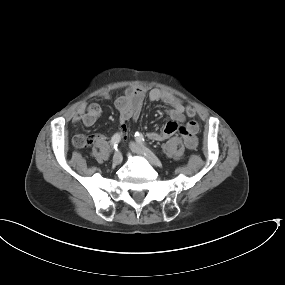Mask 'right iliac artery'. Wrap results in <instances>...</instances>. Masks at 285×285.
Here are the masks:
<instances>
[{
	"label": "right iliac artery",
	"instance_id": "obj_1",
	"mask_svg": "<svg viewBox=\"0 0 285 285\" xmlns=\"http://www.w3.org/2000/svg\"><path fill=\"white\" fill-rule=\"evenodd\" d=\"M121 141V137L120 134L116 133L113 135L112 139H111V146L113 147V149L117 150L118 144Z\"/></svg>",
	"mask_w": 285,
	"mask_h": 285
}]
</instances>
